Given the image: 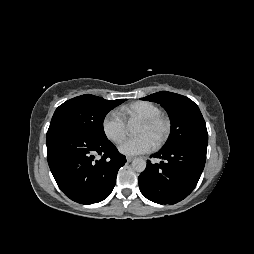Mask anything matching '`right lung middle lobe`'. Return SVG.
Masks as SVG:
<instances>
[{
	"label": "right lung middle lobe",
	"instance_id": "obj_1",
	"mask_svg": "<svg viewBox=\"0 0 254 254\" xmlns=\"http://www.w3.org/2000/svg\"><path fill=\"white\" fill-rule=\"evenodd\" d=\"M125 99L114 101L86 94L72 98L60 105L52 117L51 125H65L91 136L106 138L103 121L106 114Z\"/></svg>",
	"mask_w": 254,
	"mask_h": 254
}]
</instances>
